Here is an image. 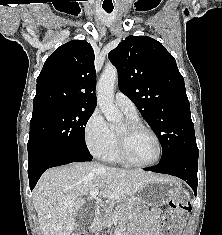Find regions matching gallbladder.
<instances>
[{
	"label": "gallbladder",
	"instance_id": "1",
	"mask_svg": "<svg viewBox=\"0 0 222 235\" xmlns=\"http://www.w3.org/2000/svg\"><path fill=\"white\" fill-rule=\"evenodd\" d=\"M95 215V204L91 202L84 203L76 215V227L73 235H84L88 226L92 223Z\"/></svg>",
	"mask_w": 222,
	"mask_h": 235
}]
</instances>
